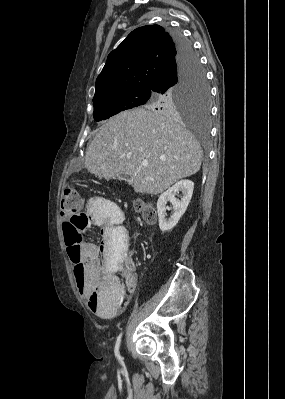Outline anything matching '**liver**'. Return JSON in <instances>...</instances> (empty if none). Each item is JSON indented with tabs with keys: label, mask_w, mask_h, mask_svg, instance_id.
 I'll return each instance as SVG.
<instances>
[{
	"label": "liver",
	"mask_w": 285,
	"mask_h": 399,
	"mask_svg": "<svg viewBox=\"0 0 285 399\" xmlns=\"http://www.w3.org/2000/svg\"><path fill=\"white\" fill-rule=\"evenodd\" d=\"M202 157L195 137L173 118L137 108L100 127L87 148L85 165L107 180L124 173L136 193L156 195L197 173Z\"/></svg>",
	"instance_id": "6515ba94"
}]
</instances>
